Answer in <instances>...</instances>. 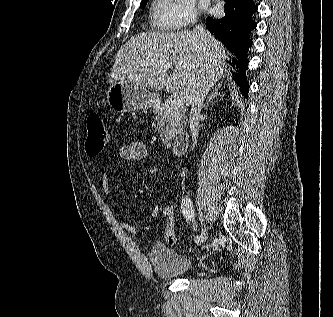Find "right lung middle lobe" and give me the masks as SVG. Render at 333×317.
Wrapping results in <instances>:
<instances>
[{"label": "right lung middle lobe", "mask_w": 333, "mask_h": 317, "mask_svg": "<svg viewBox=\"0 0 333 317\" xmlns=\"http://www.w3.org/2000/svg\"><path fill=\"white\" fill-rule=\"evenodd\" d=\"M147 2H148V0L142 1L141 2V7L144 8L146 6Z\"/></svg>", "instance_id": "right-lung-middle-lobe-1"}]
</instances>
